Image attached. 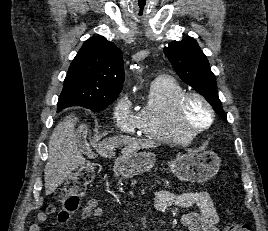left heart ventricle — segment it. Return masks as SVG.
I'll return each mask as SVG.
<instances>
[{
  "instance_id": "left-heart-ventricle-1",
  "label": "left heart ventricle",
  "mask_w": 268,
  "mask_h": 231,
  "mask_svg": "<svg viewBox=\"0 0 268 231\" xmlns=\"http://www.w3.org/2000/svg\"><path fill=\"white\" fill-rule=\"evenodd\" d=\"M209 120V111L201 102L195 99L187 102L183 113V123L188 129L192 130L205 125Z\"/></svg>"
}]
</instances>
